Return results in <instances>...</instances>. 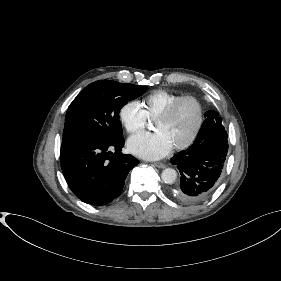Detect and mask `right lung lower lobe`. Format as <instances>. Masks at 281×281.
<instances>
[{"label": "right lung lower lobe", "mask_w": 281, "mask_h": 281, "mask_svg": "<svg viewBox=\"0 0 281 281\" xmlns=\"http://www.w3.org/2000/svg\"><path fill=\"white\" fill-rule=\"evenodd\" d=\"M123 146L122 137L109 142L81 143L61 152L64 177L81 201L100 206L120 195L129 171L139 163L132 155L121 152Z\"/></svg>", "instance_id": "right-lung-lower-lobe-1"}]
</instances>
